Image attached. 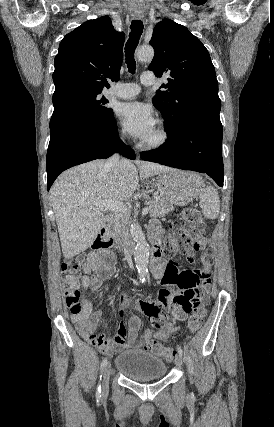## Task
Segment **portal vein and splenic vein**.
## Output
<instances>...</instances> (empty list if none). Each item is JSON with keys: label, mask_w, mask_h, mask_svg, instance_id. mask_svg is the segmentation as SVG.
Returning a JSON list of instances; mask_svg holds the SVG:
<instances>
[{"label": "portal vein and splenic vein", "mask_w": 274, "mask_h": 427, "mask_svg": "<svg viewBox=\"0 0 274 427\" xmlns=\"http://www.w3.org/2000/svg\"><path fill=\"white\" fill-rule=\"evenodd\" d=\"M96 206H99L101 210H110V212H126L127 208L124 206L123 202H112V200H102L98 202ZM149 212V208H144L142 215H146Z\"/></svg>", "instance_id": "1"}]
</instances>
